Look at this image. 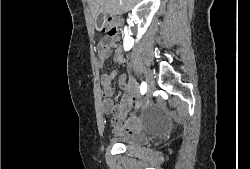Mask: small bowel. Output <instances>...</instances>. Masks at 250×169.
Here are the masks:
<instances>
[{"instance_id": "small-bowel-1", "label": "small bowel", "mask_w": 250, "mask_h": 169, "mask_svg": "<svg viewBox=\"0 0 250 169\" xmlns=\"http://www.w3.org/2000/svg\"><path fill=\"white\" fill-rule=\"evenodd\" d=\"M112 43H99V54L102 56V60L99 59V65L103 66L106 60L111 55ZM117 64L123 62V54L121 51H117L114 57ZM115 75L114 71L106 73L101 76V85L103 92L102 107L104 112L112 116V123L120 134L131 135L140 129V121L136 117H129L128 113L131 110L133 104L139 101V83L135 78H127L122 75L119 79V85L123 89V95L118 103H114L112 100L113 88L112 79Z\"/></svg>"}]
</instances>
